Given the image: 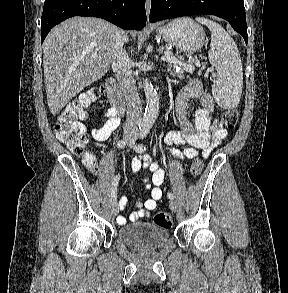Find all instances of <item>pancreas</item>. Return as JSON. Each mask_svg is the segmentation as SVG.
<instances>
[{"mask_svg": "<svg viewBox=\"0 0 288 293\" xmlns=\"http://www.w3.org/2000/svg\"><path fill=\"white\" fill-rule=\"evenodd\" d=\"M177 64H175V63H168V65H167V69H168V71L170 72V74L172 75V76H176V77H178V78H182L183 76H184V69L183 68H180V69H177Z\"/></svg>", "mask_w": 288, "mask_h": 293, "instance_id": "cf45deb5", "label": "pancreas"}]
</instances>
